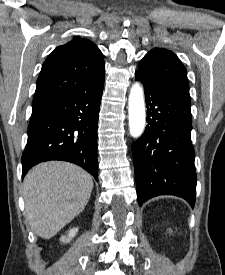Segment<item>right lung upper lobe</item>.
Masks as SVG:
<instances>
[{"mask_svg": "<svg viewBox=\"0 0 225 275\" xmlns=\"http://www.w3.org/2000/svg\"><path fill=\"white\" fill-rule=\"evenodd\" d=\"M104 74L105 63L98 47L76 37L57 47L43 63L33 103L67 93L90 92Z\"/></svg>", "mask_w": 225, "mask_h": 275, "instance_id": "cb5924a9", "label": "right lung upper lobe"}]
</instances>
